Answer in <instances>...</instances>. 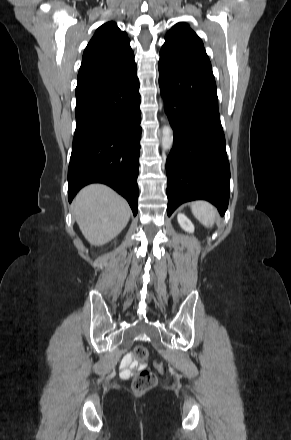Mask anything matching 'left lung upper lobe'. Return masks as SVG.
I'll list each match as a JSON object with an SVG mask.
<instances>
[{
    "instance_id": "5c2ea615",
    "label": "left lung upper lobe",
    "mask_w": 291,
    "mask_h": 440,
    "mask_svg": "<svg viewBox=\"0 0 291 440\" xmlns=\"http://www.w3.org/2000/svg\"><path fill=\"white\" fill-rule=\"evenodd\" d=\"M160 58L183 67L213 74L201 39L186 23H177L168 31L160 51Z\"/></svg>"
}]
</instances>
